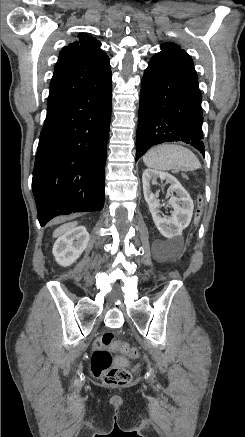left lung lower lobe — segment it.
<instances>
[{
	"label": "left lung lower lobe",
	"instance_id": "left-lung-lower-lobe-1",
	"mask_svg": "<svg viewBox=\"0 0 245 437\" xmlns=\"http://www.w3.org/2000/svg\"><path fill=\"white\" fill-rule=\"evenodd\" d=\"M160 48L141 82L136 160L152 146L174 141L204 155L201 93L193 61L174 43Z\"/></svg>",
	"mask_w": 245,
	"mask_h": 437
}]
</instances>
